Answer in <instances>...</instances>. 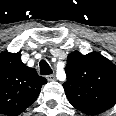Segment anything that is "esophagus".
Returning a JSON list of instances; mask_svg holds the SVG:
<instances>
[{"instance_id": "esophagus-1", "label": "esophagus", "mask_w": 116, "mask_h": 116, "mask_svg": "<svg viewBox=\"0 0 116 116\" xmlns=\"http://www.w3.org/2000/svg\"><path fill=\"white\" fill-rule=\"evenodd\" d=\"M47 79H48L49 81H53V80H55V75H54V74L49 75V76H47Z\"/></svg>"}]
</instances>
